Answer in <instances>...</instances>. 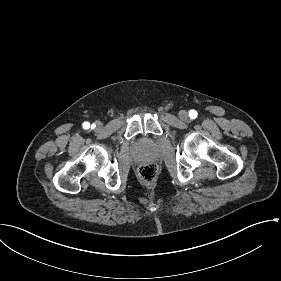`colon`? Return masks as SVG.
I'll list each match as a JSON object with an SVG mask.
<instances>
[{
  "mask_svg": "<svg viewBox=\"0 0 281 281\" xmlns=\"http://www.w3.org/2000/svg\"><path fill=\"white\" fill-rule=\"evenodd\" d=\"M139 175L142 180L147 183L151 184L157 176L155 165L153 164H145L139 168Z\"/></svg>",
  "mask_w": 281,
  "mask_h": 281,
  "instance_id": "5ec220e1",
  "label": "colon"
}]
</instances>
